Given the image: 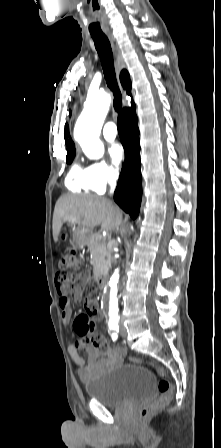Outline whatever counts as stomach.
I'll return each instance as SVG.
<instances>
[{
    "mask_svg": "<svg viewBox=\"0 0 221 448\" xmlns=\"http://www.w3.org/2000/svg\"><path fill=\"white\" fill-rule=\"evenodd\" d=\"M92 236L91 228L76 227L73 230V239L78 245H84Z\"/></svg>",
    "mask_w": 221,
    "mask_h": 448,
    "instance_id": "1",
    "label": "stomach"
}]
</instances>
